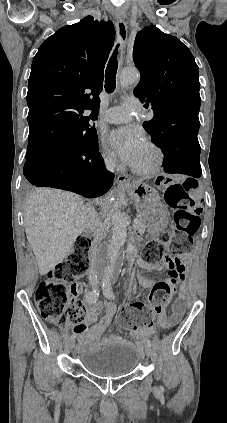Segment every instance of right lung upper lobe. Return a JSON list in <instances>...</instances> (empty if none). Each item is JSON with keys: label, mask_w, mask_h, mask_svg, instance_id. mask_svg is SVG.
Masks as SVG:
<instances>
[{"label": "right lung upper lobe", "mask_w": 227, "mask_h": 423, "mask_svg": "<svg viewBox=\"0 0 227 423\" xmlns=\"http://www.w3.org/2000/svg\"><path fill=\"white\" fill-rule=\"evenodd\" d=\"M115 40L111 22L87 16L40 46L28 83L26 155L66 147L90 134L97 119L104 67ZM92 110L89 116H84Z\"/></svg>", "instance_id": "1"}]
</instances>
